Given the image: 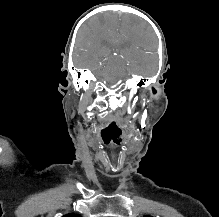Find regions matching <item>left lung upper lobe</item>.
<instances>
[{
  "label": "left lung upper lobe",
  "mask_w": 219,
  "mask_h": 217,
  "mask_svg": "<svg viewBox=\"0 0 219 217\" xmlns=\"http://www.w3.org/2000/svg\"><path fill=\"white\" fill-rule=\"evenodd\" d=\"M144 217H152V216H148V215H146V216H144Z\"/></svg>",
  "instance_id": "obj_1"
}]
</instances>
